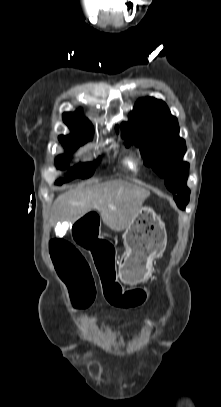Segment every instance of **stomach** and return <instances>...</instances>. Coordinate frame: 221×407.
<instances>
[{"label": "stomach", "instance_id": "1", "mask_svg": "<svg viewBox=\"0 0 221 407\" xmlns=\"http://www.w3.org/2000/svg\"><path fill=\"white\" fill-rule=\"evenodd\" d=\"M125 252L122 254L118 271L120 279L126 284L145 281L152 263L159 258L167 243L163 221L149 206H141L133 222L123 234Z\"/></svg>", "mask_w": 221, "mask_h": 407}]
</instances>
